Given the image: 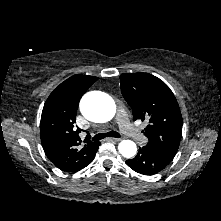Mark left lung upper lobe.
Masks as SVG:
<instances>
[{
	"instance_id": "1",
	"label": "left lung upper lobe",
	"mask_w": 221,
	"mask_h": 221,
	"mask_svg": "<svg viewBox=\"0 0 221 221\" xmlns=\"http://www.w3.org/2000/svg\"><path fill=\"white\" fill-rule=\"evenodd\" d=\"M121 92L133 110L134 120L148 121L143 131L146 147L174 157L182 136V116L170 88L148 73L121 74Z\"/></svg>"
}]
</instances>
